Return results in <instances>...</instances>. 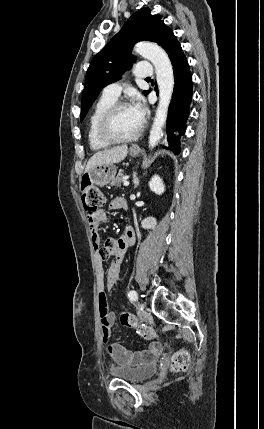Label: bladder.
I'll use <instances>...</instances> for the list:
<instances>
[{
  "instance_id": "obj_1",
  "label": "bladder",
  "mask_w": 264,
  "mask_h": 429,
  "mask_svg": "<svg viewBox=\"0 0 264 429\" xmlns=\"http://www.w3.org/2000/svg\"><path fill=\"white\" fill-rule=\"evenodd\" d=\"M156 372L157 365L155 363H148L135 367L113 369L111 376L130 383H140L154 376Z\"/></svg>"
}]
</instances>
